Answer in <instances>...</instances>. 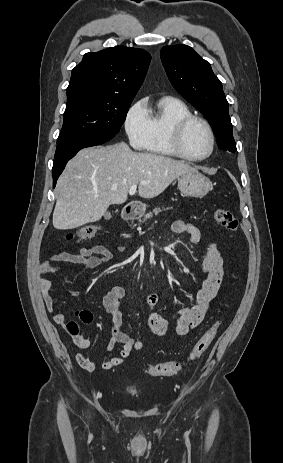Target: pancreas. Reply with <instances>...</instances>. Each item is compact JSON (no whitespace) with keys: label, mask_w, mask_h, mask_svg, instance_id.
<instances>
[{"label":"pancreas","mask_w":283,"mask_h":463,"mask_svg":"<svg viewBox=\"0 0 283 463\" xmlns=\"http://www.w3.org/2000/svg\"><path fill=\"white\" fill-rule=\"evenodd\" d=\"M169 209H170V208H166V209L163 208L164 211H165V210H169ZM160 212H161V209H160V208H155V209L153 210V212H150V213L145 214L144 217H143V219L139 218V219H138V222H139V223H143V222H145L146 220L152 218V217H153V213H154L155 215H158Z\"/></svg>","instance_id":"obj_1"}]
</instances>
